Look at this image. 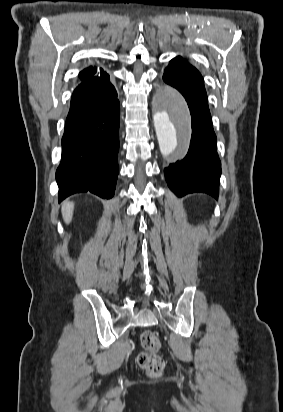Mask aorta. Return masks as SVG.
<instances>
[{"label": "aorta", "instance_id": "762f6f07", "mask_svg": "<svg viewBox=\"0 0 283 412\" xmlns=\"http://www.w3.org/2000/svg\"><path fill=\"white\" fill-rule=\"evenodd\" d=\"M162 98L166 107L155 113L154 125L161 153L168 156L177 152L189 136V110L174 89L166 88Z\"/></svg>", "mask_w": 283, "mask_h": 412}]
</instances>
